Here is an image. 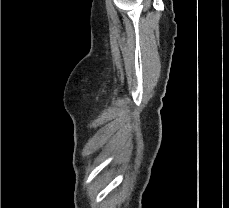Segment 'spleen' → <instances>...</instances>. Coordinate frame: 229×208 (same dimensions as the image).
I'll return each instance as SVG.
<instances>
[{"label": "spleen", "instance_id": "obj_1", "mask_svg": "<svg viewBox=\"0 0 229 208\" xmlns=\"http://www.w3.org/2000/svg\"><path fill=\"white\" fill-rule=\"evenodd\" d=\"M123 200V196H117L116 204H122Z\"/></svg>", "mask_w": 229, "mask_h": 208}]
</instances>
